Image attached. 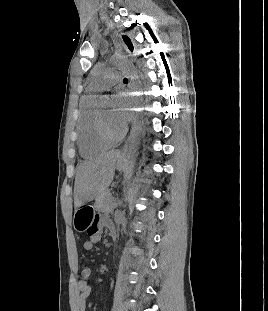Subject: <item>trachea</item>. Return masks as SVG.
Segmentation results:
<instances>
[{"instance_id": "trachea-1", "label": "trachea", "mask_w": 268, "mask_h": 311, "mask_svg": "<svg viewBox=\"0 0 268 311\" xmlns=\"http://www.w3.org/2000/svg\"><path fill=\"white\" fill-rule=\"evenodd\" d=\"M123 81H124V82H128V79H127V78H124Z\"/></svg>"}]
</instances>
